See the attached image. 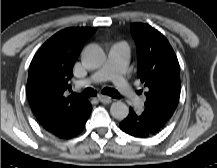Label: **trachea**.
I'll return each mask as SVG.
<instances>
[{
  "instance_id": "trachea-1",
  "label": "trachea",
  "mask_w": 217,
  "mask_h": 168,
  "mask_svg": "<svg viewBox=\"0 0 217 168\" xmlns=\"http://www.w3.org/2000/svg\"><path fill=\"white\" fill-rule=\"evenodd\" d=\"M102 93L105 95H109L113 98H121L120 94L118 93L117 90L112 89V88H104L102 90ZM97 92L93 88H86L79 96L87 98V97H93L96 96Z\"/></svg>"
}]
</instances>
